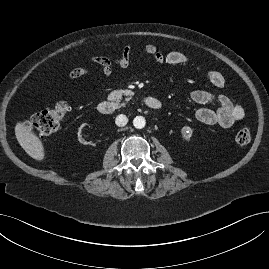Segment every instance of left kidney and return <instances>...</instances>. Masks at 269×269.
Listing matches in <instances>:
<instances>
[{
  "mask_svg": "<svg viewBox=\"0 0 269 269\" xmlns=\"http://www.w3.org/2000/svg\"><path fill=\"white\" fill-rule=\"evenodd\" d=\"M181 132H182V135H183V138L185 140H190V138L192 137V129L189 127V126H184L182 129H181Z\"/></svg>",
  "mask_w": 269,
  "mask_h": 269,
  "instance_id": "5707ae66",
  "label": "left kidney"
}]
</instances>
